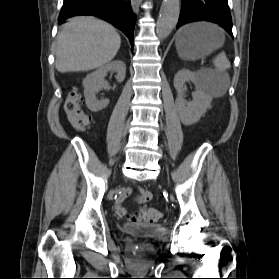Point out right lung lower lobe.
Returning <instances> with one entry per match:
<instances>
[{
	"label": "right lung lower lobe",
	"instance_id": "1",
	"mask_svg": "<svg viewBox=\"0 0 279 279\" xmlns=\"http://www.w3.org/2000/svg\"><path fill=\"white\" fill-rule=\"evenodd\" d=\"M76 15H93L103 18L122 30L133 46L136 15L129 0H64L58 21L61 22Z\"/></svg>",
	"mask_w": 279,
	"mask_h": 279
}]
</instances>
